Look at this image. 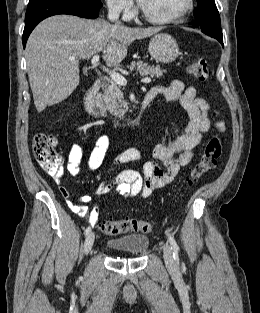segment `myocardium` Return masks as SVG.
<instances>
[{"mask_svg": "<svg viewBox=\"0 0 260 313\" xmlns=\"http://www.w3.org/2000/svg\"><path fill=\"white\" fill-rule=\"evenodd\" d=\"M194 7V0H186V4L184 8L179 11L177 14L170 17H155L150 15L139 3V11L141 16L147 20L148 22L154 24H171L180 21L183 17H185Z\"/></svg>", "mask_w": 260, "mask_h": 313, "instance_id": "f54148a6", "label": "myocardium"}]
</instances>
